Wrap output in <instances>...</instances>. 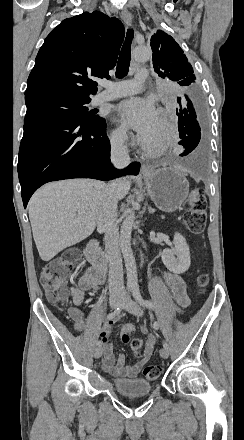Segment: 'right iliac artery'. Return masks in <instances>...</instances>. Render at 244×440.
<instances>
[{
	"instance_id": "obj_1",
	"label": "right iliac artery",
	"mask_w": 244,
	"mask_h": 440,
	"mask_svg": "<svg viewBox=\"0 0 244 440\" xmlns=\"http://www.w3.org/2000/svg\"><path fill=\"white\" fill-rule=\"evenodd\" d=\"M128 293H130V290L128 289ZM122 310V307H117L114 311H112L111 313H109L107 315V320H112L114 319ZM102 345L101 341L97 342V346L100 347Z\"/></svg>"
}]
</instances>
